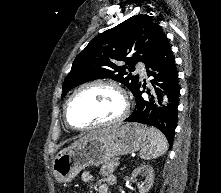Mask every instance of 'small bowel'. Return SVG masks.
Here are the masks:
<instances>
[{
	"instance_id": "1",
	"label": "small bowel",
	"mask_w": 221,
	"mask_h": 193,
	"mask_svg": "<svg viewBox=\"0 0 221 193\" xmlns=\"http://www.w3.org/2000/svg\"><path fill=\"white\" fill-rule=\"evenodd\" d=\"M82 181L86 184L91 183L93 175L89 171H84L81 175ZM114 177L111 175L104 176L103 181L98 185V193H110L109 185L114 184Z\"/></svg>"
}]
</instances>
